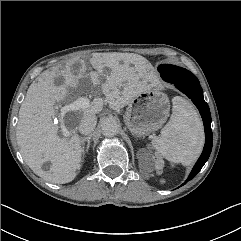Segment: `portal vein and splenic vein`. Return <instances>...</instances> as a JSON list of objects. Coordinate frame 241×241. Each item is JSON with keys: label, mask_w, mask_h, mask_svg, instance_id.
Wrapping results in <instances>:
<instances>
[{"label": "portal vein and splenic vein", "mask_w": 241, "mask_h": 241, "mask_svg": "<svg viewBox=\"0 0 241 241\" xmlns=\"http://www.w3.org/2000/svg\"><path fill=\"white\" fill-rule=\"evenodd\" d=\"M90 106V101L88 98L81 97L74 101L73 103H70L69 105L63 107L61 109V112L66 113L68 111H75L79 109H85ZM65 136H67V132L65 131Z\"/></svg>", "instance_id": "18ae733b"}]
</instances>
